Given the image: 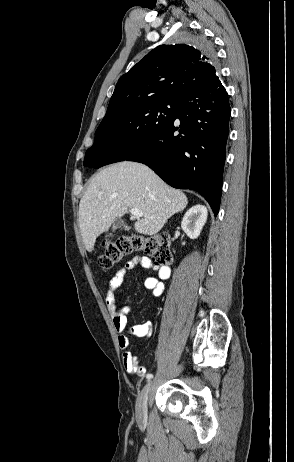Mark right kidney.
Wrapping results in <instances>:
<instances>
[{"label": "right kidney", "mask_w": 294, "mask_h": 462, "mask_svg": "<svg viewBox=\"0 0 294 462\" xmlns=\"http://www.w3.org/2000/svg\"><path fill=\"white\" fill-rule=\"evenodd\" d=\"M207 208L201 204L191 207L184 215L181 228L191 239L199 237L203 226L207 221Z\"/></svg>", "instance_id": "1"}]
</instances>
